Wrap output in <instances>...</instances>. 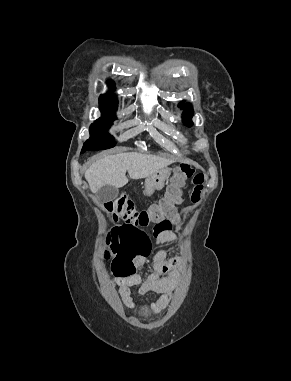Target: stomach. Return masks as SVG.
I'll return each instance as SVG.
<instances>
[{"instance_id":"0dacf381","label":"stomach","mask_w":291,"mask_h":381,"mask_svg":"<svg viewBox=\"0 0 291 381\" xmlns=\"http://www.w3.org/2000/svg\"><path fill=\"white\" fill-rule=\"evenodd\" d=\"M171 169L164 168L145 180V193L152 195L156 190L159 191L164 187L165 181L169 178Z\"/></svg>"}]
</instances>
